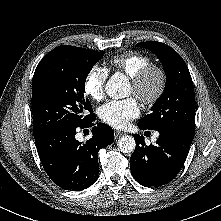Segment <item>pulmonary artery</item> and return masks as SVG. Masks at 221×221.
<instances>
[{
    "mask_svg": "<svg viewBox=\"0 0 221 221\" xmlns=\"http://www.w3.org/2000/svg\"><path fill=\"white\" fill-rule=\"evenodd\" d=\"M158 135H159V133L156 132V133L154 134V138L158 137Z\"/></svg>",
    "mask_w": 221,
    "mask_h": 221,
    "instance_id": "obj_1",
    "label": "pulmonary artery"
}]
</instances>
